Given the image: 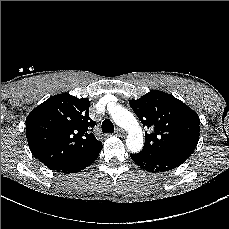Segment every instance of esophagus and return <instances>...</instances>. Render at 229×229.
Returning a JSON list of instances; mask_svg holds the SVG:
<instances>
[{
  "label": "esophagus",
  "instance_id": "esophagus-1",
  "mask_svg": "<svg viewBox=\"0 0 229 229\" xmlns=\"http://www.w3.org/2000/svg\"><path fill=\"white\" fill-rule=\"evenodd\" d=\"M115 133L118 135V136H124L125 135V131L123 129H120V128H117Z\"/></svg>",
  "mask_w": 229,
  "mask_h": 229
}]
</instances>
